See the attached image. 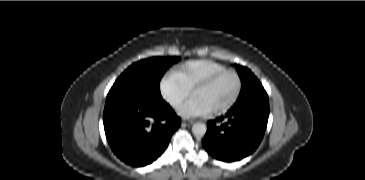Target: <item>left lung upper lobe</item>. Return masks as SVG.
<instances>
[{
    "label": "left lung upper lobe",
    "instance_id": "left-lung-upper-lobe-1",
    "mask_svg": "<svg viewBox=\"0 0 365 180\" xmlns=\"http://www.w3.org/2000/svg\"><path fill=\"white\" fill-rule=\"evenodd\" d=\"M235 67L239 73L242 82V89L238 99L247 97L257 92L265 91L262 84L249 69L243 66H239L237 64L235 65Z\"/></svg>",
    "mask_w": 365,
    "mask_h": 180
}]
</instances>
